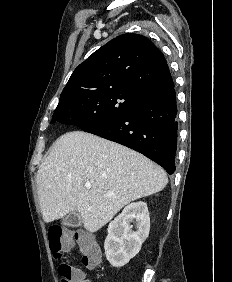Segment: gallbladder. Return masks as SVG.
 <instances>
[{"label": "gallbladder", "mask_w": 232, "mask_h": 282, "mask_svg": "<svg viewBox=\"0 0 232 282\" xmlns=\"http://www.w3.org/2000/svg\"><path fill=\"white\" fill-rule=\"evenodd\" d=\"M82 219L77 211H72L62 219V225L76 227L81 225Z\"/></svg>", "instance_id": "1"}]
</instances>
